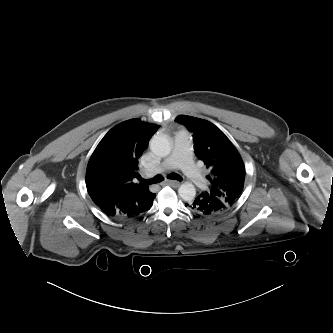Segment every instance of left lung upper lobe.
I'll use <instances>...</instances> for the list:
<instances>
[{
	"mask_svg": "<svg viewBox=\"0 0 333 333\" xmlns=\"http://www.w3.org/2000/svg\"><path fill=\"white\" fill-rule=\"evenodd\" d=\"M175 121L193 132L196 156L211 170L208 194L220 199L225 211L229 210L244 186L245 167L238 151L219 128L206 120L179 115Z\"/></svg>",
	"mask_w": 333,
	"mask_h": 333,
	"instance_id": "1",
	"label": "left lung upper lobe"
}]
</instances>
